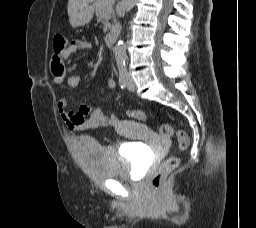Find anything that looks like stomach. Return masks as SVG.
<instances>
[{"label":"stomach","instance_id":"0dacf381","mask_svg":"<svg viewBox=\"0 0 256 228\" xmlns=\"http://www.w3.org/2000/svg\"><path fill=\"white\" fill-rule=\"evenodd\" d=\"M93 17V9L86 5L79 8L70 16V25L74 28L84 26L89 23Z\"/></svg>","mask_w":256,"mask_h":228}]
</instances>
